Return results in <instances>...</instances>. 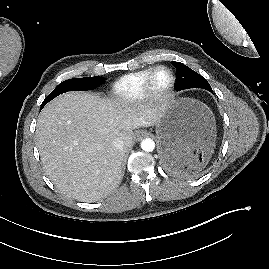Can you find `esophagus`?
Here are the masks:
<instances>
[{
	"mask_svg": "<svg viewBox=\"0 0 269 269\" xmlns=\"http://www.w3.org/2000/svg\"><path fill=\"white\" fill-rule=\"evenodd\" d=\"M139 134H140V135H144V134H145V132H140Z\"/></svg>",
	"mask_w": 269,
	"mask_h": 269,
	"instance_id": "esophagus-1",
	"label": "esophagus"
}]
</instances>
